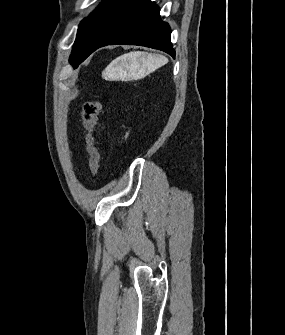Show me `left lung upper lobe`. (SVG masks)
Returning <instances> with one entry per match:
<instances>
[{
	"instance_id": "5c2ea615",
	"label": "left lung upper lobe",
	"mask_w": 285,
	"mask_h": 335,
	"mask_svg": "<svg viewBox=\"0 0 285 335\" xmlns=\"http://www.w3.org/2000/svg\"><path fill=\"white\" fill-rule=\"evenodd\" d=\"M111 0H103V2L87 17L85 18L79 25L76 40L72 49V54L70 56V63L75 67L79 63V52L81 49L83 38L91 26L95 18L98 14L103 10V8L110 2Z\"/></svg>"
}]
</instances>
